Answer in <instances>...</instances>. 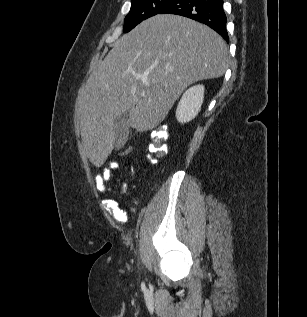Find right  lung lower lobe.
I'll return each mask as SVG.
<instances>
[{
  "label": "right lung lower lobe",
  "instance_id": "obj_1",
  "mask_svg": "<svg viewBox=\"0 0 307 317\" xmlns=\"http://www.w3.org/2000/svg\"><path fill=\"white\" fill-rule=\"evenodd\" d=\"M159 14H175L208 25L229 41L223 0H172Z\"/></svg>",
  "mask_w": 307,
  "mask_h": 317
}]
</instances>
